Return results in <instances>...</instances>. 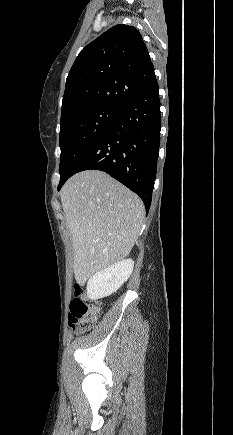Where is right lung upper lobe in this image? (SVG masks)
<instances>
[{
  "mask_svg": "<svg viewBox=\"0 0 233 435\" xmlns=\"http://www.w3.org/2000/svg\"><path fill=\"white\" fill-rule=\"evenodd\" d=\"M155 78L139 31L116 25L88 44L67 77L60 122L97 107L122 108Z\"/></svg>",
  "mask_w": 233,
  "mask_h": 435,
  "instance_id": "obj_1",
  "label": "right lung upper lobe"
}]
</instances>
